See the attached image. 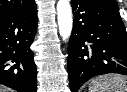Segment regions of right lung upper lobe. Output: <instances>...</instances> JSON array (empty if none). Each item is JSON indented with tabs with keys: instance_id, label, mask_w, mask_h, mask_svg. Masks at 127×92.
Wrapping results in <instances>:
<instances>
[{
	"instance_id": "right-lung-upper-lobe-1",
	"label": "right lung upper lobe",
	"mask_w": 127,
	"mask_h": 92,
	"mask_svg": "<svg viewBox=\"0 0 127 92\" xmlns=\"http://www.w3.org/2000/svg\"><path fill=\"white\" fill-rule=\"evenodd\" d=\"M35 5V0H0V16L29 9Z\"/></svg>"
}]
</instances>
